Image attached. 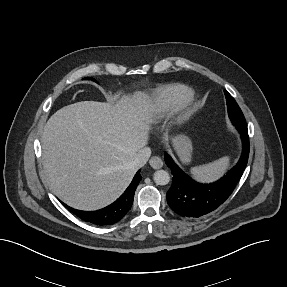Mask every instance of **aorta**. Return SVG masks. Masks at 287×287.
Segmentation results:
<instances>
[{
    "mask_svg": "<svg viewBox=\"0 0 287 287\" xmlns=\"http://www.w3.org/2000/svg\"><path fill=\"white\" fill-rule=\"evenodd\" d=\"M153 179L157 185H167L170 182L169 173L165 170H157L153 175Z\"/></svg>",
    "mask_w": 287,
    "mask_h": 287,
    "instance_id": "1",
    "label": "aorta"
}]
</instances>
